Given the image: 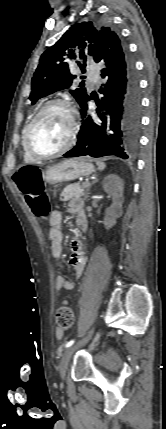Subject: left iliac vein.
I'll return each mask as SVG.
<instances>
[{
    "label": "left iliac vein",
    "instance_id": "4c4485c4",
    "mask_svg": "<svg viewBox=\"0 0 166 429\" xmlns=\"http://www.w3.org/2000/svg\"><path fill=\"white\" fill-rule=\"evenodd\" d=\"M93 331H94L93 329L90 330L88 336L86 337V339L83 341L82 344H84V343H86V342L89 341V339L91 338V336L93 334ZM79 346L80 345H73V346L68 347L64 351V353H63V355L61 357V360H60V375H61L62 379L65 378L66 372H67V369H68V365H69V362H70V359H71L73 353L75 352V350H77V348Z\"/></svg>",
    "mask_w": 166,
    "mask_h": 429
}]
</instances>
